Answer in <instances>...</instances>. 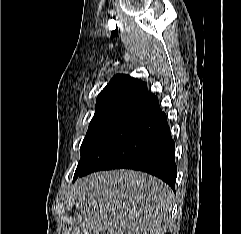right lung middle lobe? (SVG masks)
<instances>
[{"label":"right lung middle lobe","instance_id":"dd1d6c3e","mask_svg":"<svg viewBox=\"0 0 241 234\" xmlns=\"http://www.w3.org/2000/svg\"><path fill=\"white\" fill-rule=\"evenodd\" d=\"M133 104H111L96 106L87 134L82 142L81 159L74 177L84 168L87 160L101 142L135 109Z\"/></svg>","mask_w":241,"mask_h":234}]
</instances>
